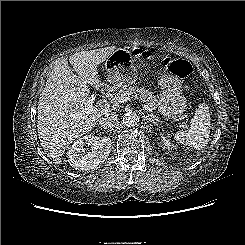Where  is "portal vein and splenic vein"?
<instances>
[{"instance_id":"1","label":"portal vein and splenic vein","mask_w":245,"mask_h":245,"mask_svg":"<svg viewBox=\"0 0 245 245\" xmlns=\"http://www.w3.org/2000/svg\"><path fill=\"white\" fill-rule=\"evenodd\" d=\"M95 97L91 96L88 98L86 101L84 107L77 113H75L73 116L78 117V118H87L89 115L94 114L97 108H94L93 103H94ZM132 98L130 97H122L118 100L119 103L130 101ZM105 108L109 107V105L105 104ZM142 107L147 110V111H152V109L146 105L142 104ZM183 128H187V125L185 123H182L181 125Z\"/></svg>"}]
</instances>
